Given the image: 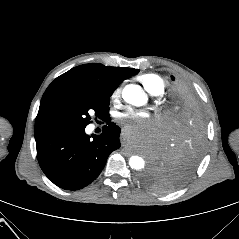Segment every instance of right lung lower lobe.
Masks as SVG:
<instances>
[{
	"instance_id": "right-lung-lower-lobe-1",
	"label": "right lung lower lobe",
	"mask_w": 239,
	"mask_h": 239,
	"mask_svg": "<svg viewBox=\"0 0 239 239\" xmlns=\"http://www.w3.org/2000/svg\"><path fill=\"white\" fill-rule=\"evenodd\" d=\"M121 129L113 122L100 135L85 127L35 130L37 158L45 175L58 187L79 190L93 182L110 153L118 149Z\"/></svg>"
}]
</instances>
